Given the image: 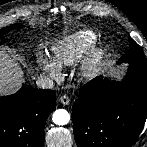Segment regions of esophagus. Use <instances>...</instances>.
I'll return each instance as SVG.
<instances>
[{
  "label": "esophagus",
  "instance_id": "obj_1",
  "mask_svg": "<svg viewBox=\"0 0 147 147\" xmlns=\"http://www.w3.org/2000/svg\"><path fill=\"white\" fill-rule=\"evenodd\" d=\"M59 101H60L63 105H69V103H70L69 97H68L67 95H65V94L62 95V96H60Z\"/></svg>",
  "mask_w": 147,
  "mask_h": 147
}]
</instances>
